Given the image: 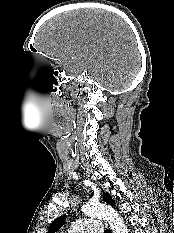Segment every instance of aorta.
<instances>
[{"label":"aorta","instance_id":"aorta-1","mask_svg":"<svg viewBox=\"0 0 174 233\" xmlns=\"http://www.w3.org/2000/svg\"><path fill=\"white\" fill-rule=\"evenodd\" d=\"M82 211L90 217H98L107 220L112 228V233H128V229L118 213L105 204H86Z\"/></svg>","mask_w":174,"mask_h":233}]
</instances>
